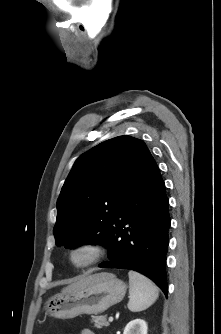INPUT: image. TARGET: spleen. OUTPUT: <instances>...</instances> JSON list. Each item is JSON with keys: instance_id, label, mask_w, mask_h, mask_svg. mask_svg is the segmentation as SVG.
<instances>
[{"instance_id": "1", "label": "spleen", "mask_w": 221, "mask_h": 334, "mask_svg": "<svg viewBox=\"0 0 221 334\" xmlns=\"http://www.w3.org/2000/svg\"><path fill=\"white\" fill-rule=\"evenodd\" d=\"M129 302L128 309L140 312L150 307L158 298V288L144 275L129 271Z\"/></svg>"}]
</instances>
